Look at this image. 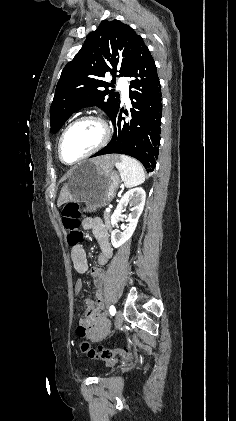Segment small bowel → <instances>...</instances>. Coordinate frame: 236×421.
Returning a JSON list of instances; mask_svg holds the SVG:
<instances>
[{
  "instance_id": "1",
  "label": "small bowel",
  "mask_w": 236,
  "mask_h": 421,
  "mask_svg": "<svg viewBox=\"0 0 236 421\" xmlns=\"http://www.w3.org/2000/svg\"><path fill=\"white\" fill-rule=\"evenodd\" d=\"M81 228L83 230H91L96 237V239L100 243H107L108 239V231L106 226L103 224V222L99 218L94 217H87L85 218L81 223ZM75 258L77 262L79 263V268L82 271H85L87 268V261L85 257V252L82 247H79L75 252ZM82 289V284L79 282L76 284L75 290L77 293H79ZM100 331L98 335H89V337L94 340L98 341L105 337V335L109 332V323L105 319V317L100 316L98 319Z\"/></svg>"
}]
</instances>
